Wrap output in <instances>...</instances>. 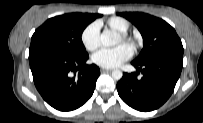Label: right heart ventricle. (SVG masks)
I'll list each match as a JSON object with an SVG mask.
<instances>
[{
  "label": "right heart ventricle",
  "mask_w": 203,
  "mask_h": 123,
  "mask_svg": "<svg viewBox=\"0 0 203 123\" xmlns=\"http://www.w3.org/2000/svg\"><path fill=\"white\" fill-rule=\"evenodd\" d=\"M108 25L112 29H114V30H116V31H118L120 33H126L130 28L129 22L126 19L122 18V17H112V18H110L108 20Z\"/></svg>",
  "instance_id": "obj_1"
}]
</instances>
